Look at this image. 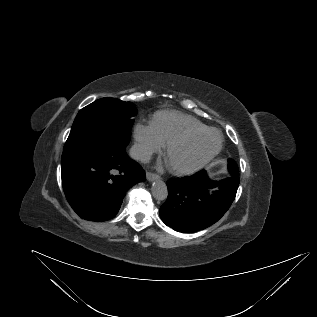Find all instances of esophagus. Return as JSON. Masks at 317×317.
I'll return each mask as SVG.
<instances>
[{"instance_id":"1","label":"esophagus","mask_w":317,"mask_h":317,"mask_svg":"<svg viewBox=\"0 0 317 317\" xmlns=\"http://www.w3.org/2000/svg\"><path fill=\"white\" fill-rule=\"evenodd\" d=\"M146 178L148 181H153V180H157L160 178V176L154 174V173H151V172H147L146 173Z\"/></svg>"}]
</instances>
